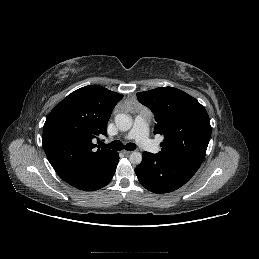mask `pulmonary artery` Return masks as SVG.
<instances>
[{"instance_id":"pulmonary-artery-1","label":"pulmonary artery","mask_w":259,"mask_h":259,"mask_svg":"<svg viewBox=\"0 0 259 259\" xmlns=\"http://www.w3.org/2000/svg\"><path fill=\"white\" fill-rule=\"evenodd\" d=\"M125 139H134L140 147L149 151H155L156 146L148 138V125L144 115L135 118L133 128L124 136Z\"/></svg>"}]
</instances>
